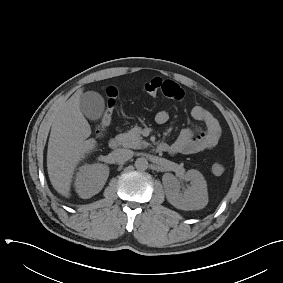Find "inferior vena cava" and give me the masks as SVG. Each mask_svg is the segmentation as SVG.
<instances>
[{"instance_id":"602c4592","label":"inferior vena cava","mask_w":283,"mask_h":283,"mask_svg":"<svg viewBox=\"0 0 283 283\" xmlns=\"http://www.w3.org/2000/svg\"><path fill=\"white\" fill-rule=\"evenodd\" d=\"M113 158L116 162L128 161L133 157V151L125 148L116 149L112 152Z\"/></svg>"}]
</instances>
